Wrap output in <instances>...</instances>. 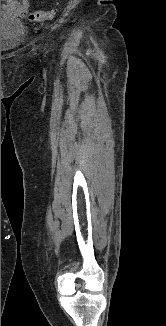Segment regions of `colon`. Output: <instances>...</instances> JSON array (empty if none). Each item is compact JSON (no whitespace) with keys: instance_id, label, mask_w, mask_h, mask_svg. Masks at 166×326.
Returning a JSON list of instances; mask_svg holds the SVG:
<instances>
[{"instance_id":"obj_1","label":"colon","mask_w":166,"mask_h":326,"mask_svg":"<svg viewBox=\"0 0 166 326\" xmlns=\"http://www.w3.org/2000/svg\"><path fill=\"white\" fill-rule=\"evenodd\" d=\"M56 14L55 8L44 11H37L29 14V19L34 22H43L52 19Z\"/></svg>"}]
</instances>
